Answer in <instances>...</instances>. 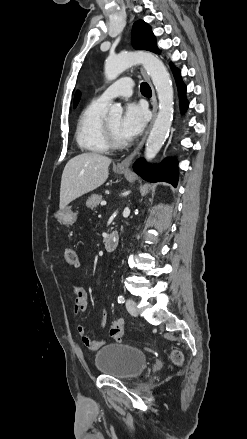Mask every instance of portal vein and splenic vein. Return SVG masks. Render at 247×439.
<instances>
[{
	"mask_svg": "<svg viewBox=\"0 0 247 439\" xmlns=\"http://www.w3.org/2000/svg\"><path fill=\"white\" fill-rule=\"evenodd\" d=\"M104 205H106V202L105 201L101 202V206H104Z\"/></svg>",
	"mask_w": 247,
	"mask_h": 439,
	"instance_id": "portal-vein-and-splenic-vein-1",
	"label": "portal vein and splenic vein"
}]
</instances>
